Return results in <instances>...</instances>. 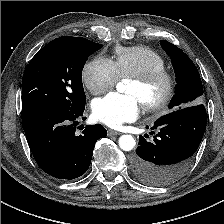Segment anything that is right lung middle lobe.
<instances>
[{
  "label": "right lung middle lobe",
  "mask_w": 224,
  "mask_h": 224,
  "mask_svg": "<svg viewBox=\"0 0 224 224\" xmlns=\"http://www.w3.org/2000/svg\"><path fill=\"white\" fill-rule=\"evenodd\" d=\"M101 47L85 38L63 36L38 51L22 78V119L41 111L68 112L84 106L82 69Z\"/></svg>",
  "instance_id": "obj_1"
}]
</instances>
